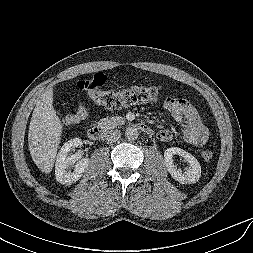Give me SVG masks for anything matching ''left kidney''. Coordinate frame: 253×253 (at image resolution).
Here are the masks:
<instances>
[{"label": "left kidney", "instance_id": "1", "mask_svg": "<svg viewBox=\"0 0 253 253\" xmlns=\"http://www.w3.org/2000/svg\"><path fill=\"white\" fill-rule=\"evenodd\" d=\"M179 155L184 158L189 167L182 172L174 164L173 156ZM164 164L170 175L181 184L196 183L201 176V166L198 160L190 153L177 147H171L164 152Z\"/></svg>", "mask_w": 253, "mask_h": 253}]
</instances>
